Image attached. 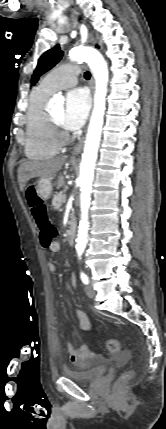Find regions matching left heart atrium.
Here are the masks:
<instances>
[{
	"label": "left heart atrium",
	"mask_w": 166,
	"mask_h": 429,
	"mask_svg": "<svg viewBox=\"0 0 166 429\" xmlns=\"http://www.w3.org/2000/svg\"><path fill=\"white\" fill-rule=\"evenodd\" d=\"M90 105V96L86 89L70 90L66 95L62 126L70 131L79 129L87 119Z\"/></svg>",
	"instance_id": "1"
}]
</instances>
